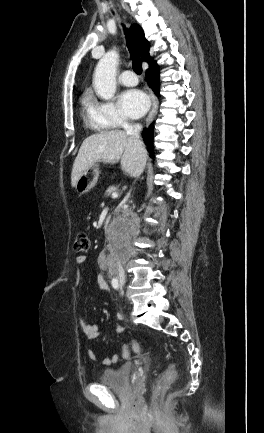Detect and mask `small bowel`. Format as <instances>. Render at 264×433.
<instances>
[{
  "label": "small bowel",
  "mask_w": 264,
  "mask_h": 433,
  "mask_svg": "<svg viewBox=\"0 0 264 433\" xmlns=\"http://www.w3.org/2000/svg\"><path fill=\"white\" fill-rule=\"evenodd\" d=\"M86 261H87V257L85 255L77 256L76 257L77 267L80 268L82 265L85 264ZM97 282H98L99 288L101 290L108 291V289H109L108 285L102 276L99 275L97 277ZM79 324H80V327H81L83 333L86 335V337L89 340H96L99 338L100 334H99V328H98L97 324L89 323L86 320H84L83 318H80ZM123 330L124 329L122 327H118V329H117L118 332H123ZM88 356L93 361L99 360L98 355L93 350L88 351ZM117 359H118L117 355L113 354L110 357L104 358L102 363L104 365H112V364L117 362Z\"/></svg>",
  "instance_id": "obj_1"
}]
</instances>
